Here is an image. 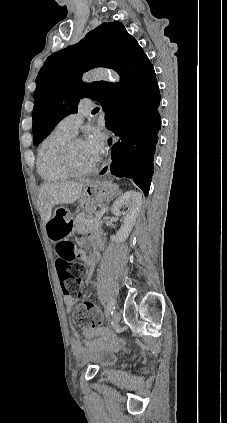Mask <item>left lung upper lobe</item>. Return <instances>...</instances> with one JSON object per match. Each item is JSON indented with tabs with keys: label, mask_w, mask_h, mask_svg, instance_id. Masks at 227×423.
<instances>
[{
	"label": "left lung upper lobe",
	"mask_w": 227,
	"mask_h": 423,
	"mask_svg": "<svg viewBox=\"0 0 227 423\" xmlns=\"http://www.w3.org/2000/svg\"><path fill=\"white\" fill-rule=\"evenodd\" d=\"M95 67L116 70L121 82L83 83V72ZM152 71L143 49L120 22L103 23L79 43L52 54L36 78L34 145L42 142L64 117L77 112L81 98L97 101L104 111L127 108L130 95Z\"/></svg>",
	"instance_id": "left-lung-upper-lobe-1"
}]
</instances>
